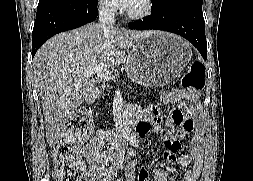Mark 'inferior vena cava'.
Returning <instances> with one entry per match:
<instances>
[{
    "instance_id": "inferior-vena-cava-1",
    "label": "inferior vena cava",
    "mask_w": 253,
    "mask_h": 181,
    "mask_svg": "<svg viewBox=\"0 0 253 181\" xmlns=\"http://www.w3.org/2000/svg\"><path fill=\"white\" fill-rule=\"evenodd\" d=\"M116 10L117 9L113 4H101L99 8V23L103 26H113Z\"/></svg>"
}]
</instances>
